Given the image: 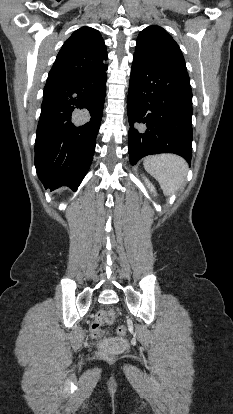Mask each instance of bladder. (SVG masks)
Segmentation results:
<instances>
[{
	"label": "bladder",
	"instance_id": "obj_1",
	"mask_svg": "<svg viewBox=\"0 0 233 414\" xmlns=\"http://www.w3.org/2000/svg\"><path fill=\"white\" fill-rule=\"evenodd\" d=\"M121 345H122V342H121V341H118V340L111 341V342L108 344V346H109V347H113V348H115V347H119V346H121Z\"/></svg>",
	"mask_w": 233,
	"mask_h": 414
}]
</instances>
